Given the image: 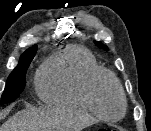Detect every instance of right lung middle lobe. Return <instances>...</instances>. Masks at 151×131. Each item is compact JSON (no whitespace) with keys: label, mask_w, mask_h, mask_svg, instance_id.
<instances>
[{"label":"right lung middle lobe","mask_w":151,"mask_h":131,"mask_svg":"<svg viewBox=\"0 0 151 131\" xmlns=\"http://www.w3.org/2000/svg\"><path fill=\"white\" fill-rule=\"evenodd\" d=\"M36 51L37 46H33L21 55L18 65L7 79L5 90L1 96L0 104L10 103L19 97L26 84V71L34 58Z\"/></svg>","instance_id":"dd1d6c3e"}]
</instances>
